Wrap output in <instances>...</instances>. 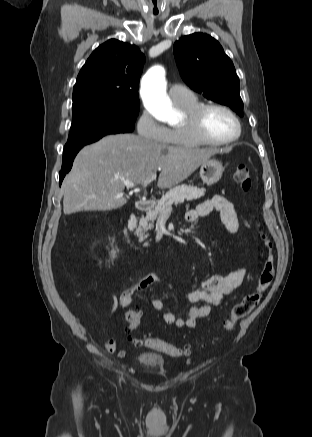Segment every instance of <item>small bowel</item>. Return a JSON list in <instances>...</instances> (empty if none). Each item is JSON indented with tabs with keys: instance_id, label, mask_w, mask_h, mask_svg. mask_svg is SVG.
<instances>
[{
	"instance_id": "c3829d8e",
	"label": "small bowel",
	"mask_w": 312,
	"mask_h": 437,
	"mask_svg": "<svg viewBox=\"0 0 312 437\" xmlns=\"http://www.w3.org/2000/svg\"><path fill=\"white\" fill-rule=\"evenodd\" d=\"M218 211L223 224L230 233H235L239 228V220L234 204L222 195H214L210 199L201 202L195 209L189 210L185 214L187 222H195L198 218ZM245 269L235 268L226 275H214L201 282L200 287L194 291L186 293L184 297L193 303L188 311L186 318H178L171 312H165L162 300L153 299L152 307L162 313V320L168 325L176 327L194 328L199 319L208 316L211 310L219 306L225 295L233 292L243 282ZM159 275L155 273L146 274L137 283L122 291L119 296V305L122 309L130 307L134 302V297L151 286L160 283ZM104 348L109 353L117 352V343L111 339L104 343ZM118 356L125 355L124 351H118Z\"/></svg>"
}]
</instances>
